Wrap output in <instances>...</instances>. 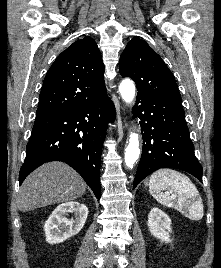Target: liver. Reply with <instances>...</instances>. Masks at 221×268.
<instances>
[{
	"mask_svg": "<svg viewBox=\"0 0 221 268\" xmlns=\"http://www.w3.org/2000/svg\"><path fill=\"white\" fill-rule=\"evenodd\" d=\"M86 183L71 167L50 162L37 168L23 182L17 200L20 211L63 203L81 197Z\"/></svg>",
	"mask_w": 221,
	"mask_h": 268,
	"instance_id": "liver-1",
	"label": "liver"
}]
</instances>
